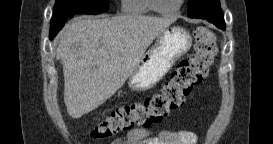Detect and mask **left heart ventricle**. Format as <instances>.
<instances>
[{
  "label": "left heart ventricle",
  "instance_id": "1",
  "mask_svg": "<svg viewBox=\"0 0 273 144\" xmlns=\"http://www.w3.org/2000/svg\"><path fill=\"white\" fill-rule=\"evenodd\" d=\"M179 0H158V6L163 10L173 9L177 6Z\"/></svg>",
  "mask_w": 273,
  "mask_h": 144
}]
</instances>
